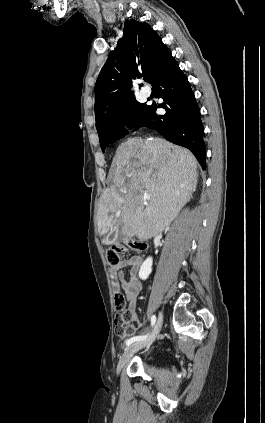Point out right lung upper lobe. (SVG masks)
Masks as SVG:
<instances>
[{
    "mask_svg": "<svg viewBox=\"0 0 265 423\" xmlns=\"http://www.w3.org/2000/svg\"><path fill=\"white\" fill-rule=\"evenodd\" d=\"M174 58L147 23L126 20L123 37L111 51L95 85L96 124L119 104L134 97L131 79L148 74L151 83Z\"/></svg>",
    "mask_w": 265,
    "mask_h": 423,
    "instance_id": "cb5924a9",
    "label": "right lung upper lobe"
}]
</instances>
